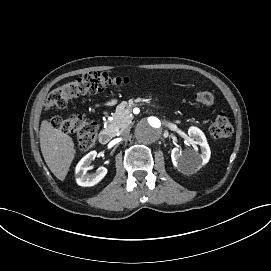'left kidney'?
Returning a JSON list of instances; mask_svg holds the SVG:
<instances>
[{
	"label": "left kidney",
	"mask_w": 271,
	"mask_h": 271,
	"mask_svg": "<svg viewBox=\"0 0 271 271\" xmlns=\"http://www.w3.org/2000/svg\"><path fill=\"white\" fill-rule=\"evenodd\" d=\"M188 134L196 139L197 144L201 147V153L199 154L195 149L190 154L183 153L179 148H173L171 151L173 165L184 174L193 173L201 165L208 163L211 155L206 137L199 128L191 126L188 129Z\"/></svg>",
	"instance_id": "left-kidney-1"
}]
</instances>
